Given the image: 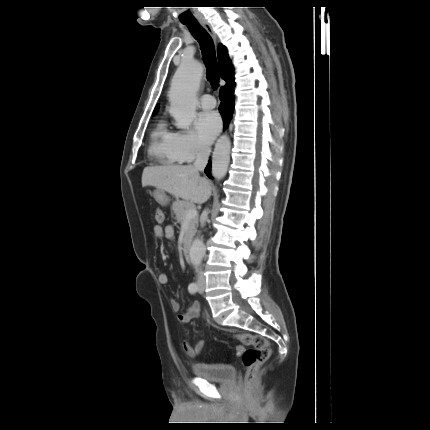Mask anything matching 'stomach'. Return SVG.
Returning <instances> with one entry per match:
<instances>
[{
    "label": "stomach",
    "instance_id": "obj_1",
    "mask_svg": "<svg viewBox=\"0 0 430 430\" xmlns=\"http://www.w3.org/2000/svg\"><path fill=\"white\" fill-rule=\"evenodd\" d=\"M154 198H155V200H156L158 203H160L161 205H166V203H167V201H168V198H167V196H166V194H165L164 190H161V189H157V190L154 192Z\"/></svg>",
    "mask_w": 430,
    "mask_h": 430
}]
</instances>
